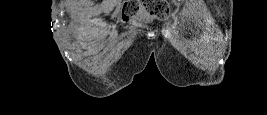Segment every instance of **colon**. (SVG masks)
I'll return each mask as SVG.
<instances>
[{
	"label": "colon",
	"instance_id": "obj_1",
	"mask_svg": "<svg viewBox=\"0 0 267 115\" xmlns=\"http://www.w3.org/2000/svg\"><path fill=\"white\" fill-rule=\"evenodd\" d=\"M141 5L158 19H166L169 15V4L165 0L128 1L122 8V18L130 21L136 17Z\"/></svg>",
	"mask_w": 267,
	"mask_h": 115
}]
</instances>
